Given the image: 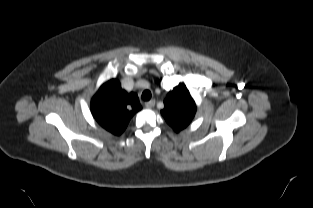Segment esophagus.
<instances>
[{"label":"esophagus","instance_id":"34e87169","mask_svg":"<svg viewBox=\"0 0 313 208\" xmlns=\"http://www.w3.org/2000/svg\"><path fill=\"white\" fill-rule=\"evenodd\" d=\"M154 105H155V100L154 99H152V100H150V101L145 103V106L147 108H152V107H154Z\"/></svg>","mask_w":313,"mask_h":208}]
</instances>
